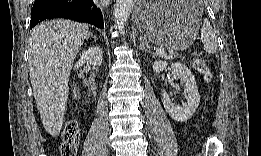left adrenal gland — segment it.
I'll return each mask as SVG.
<instances>
[{
	"label": "left adrenal gland",
	"instance_id": "obj_1",
	"mask_svg": "<svg viewBox=\"0 0 261 156\" xmlns=\"http://www.w3.org/2000/svg\"><path fill=\"white\" fill-rule=\"evenodd\" d=\"M139 49L141 51L144 50V49H147L148 51L150 50V46L148 45L146 39H144L143 37L140 38Z\"/></svg>",
	"mask_w": 261,
	"mask_h": 156
}]
</instances>
